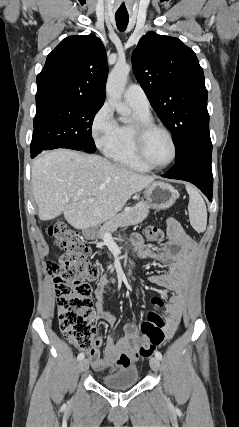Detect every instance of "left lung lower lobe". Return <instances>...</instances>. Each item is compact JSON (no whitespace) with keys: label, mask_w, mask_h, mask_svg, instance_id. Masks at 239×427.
Returning <instances> with one entry per match:
<instances>
[{"label":"left lung lower lobe","mask_w":239,"mask_h":427,"mask_svg":"<svg viewBox=\"0 0 239 427\" xmlns=\"http://www.w3.org/2000/svg\"><path fill=\"white\" fill-rule=\"evenodd\" d=\"M212 144L190 149L162 177L184 180L197 186L212 201L213 175L211 169Z\"/></svg>","instance_id":"0a47b994"}]
</instances>
